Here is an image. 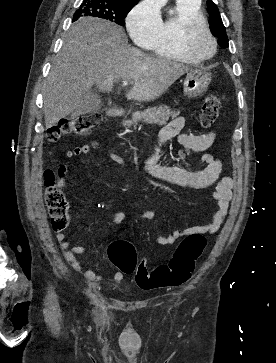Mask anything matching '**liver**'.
<instances>
[{"instance_id":"6515ba94","label":"liver","mask_w":276,"mask_h":363,"mask_svg":"<svg viewBox=\"0 0 276 363\" xmlns=\"http://www.w3.org/2000/svg\"><path fill=\"white\" fill-rule=\"evenodd\" d=\"M191 70L131 47L124 29L110 21L81 18L64 35L52 62L43 91L45 126L71 114L93 86L109 93L115 81H133L127 99L152 101Z\"/></svg>"}]
</instances>
